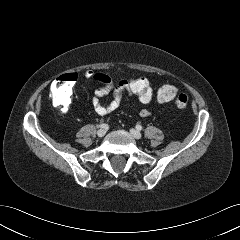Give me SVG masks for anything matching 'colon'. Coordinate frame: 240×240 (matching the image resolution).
Wrapping results in <instances>:
<instances>
[{"label":"colon","mask_w":240,"mask_h":240,"mask_svg":"<svg viewBox=\"0 0 240 240\" xmlns=\"http://www.w3.org/2000/svg\"><path fill=\"white\" fill-rule=\"evenodd\" d=\"M96 81L107 83L111 78L105 74L94 76ZM76 76L66 74L58 77L52 85V100L54 105L65 110L70 104V96ZM128 93L142 103L157 101L159 103L174 102L179 109H185L189 104L186 94L178 91L177 87L171 84H163L154 87L148 78L144 76H132L125 80Z\"/></svg>","instance_id":"colon-1"}]
</instances>
